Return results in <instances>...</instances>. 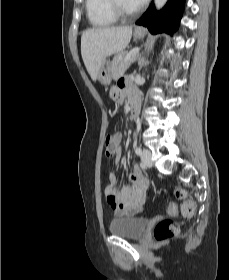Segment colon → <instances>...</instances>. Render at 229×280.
<instances>
[{"label": "colon", "mask_w": 229, "mask_h": 280, "mask_svg": "<svg viewBox=\"0 0 229 280\" xmlns=\"http://www.w3.org/2000/svg\"><path fill=\"white\" fill-rule=\"evenodd\" d=\"M120 139L121 135L118 132L110 133L105 137L104 152L107 157H111L113 155ZM175 193L178 198L184 200L181 207L182 214L187 217L194 216L196 213V205L193 201L186 199V192L183 189L178 188ZM129 203L130 201L125 202V204ZM170 209L174 210V207H171ZM178 230V226L172 220L162 219L156 223L154 228V237L158 241H163L174 235Z\"/></svg>", "instance_id": "1"}]
</instances>
